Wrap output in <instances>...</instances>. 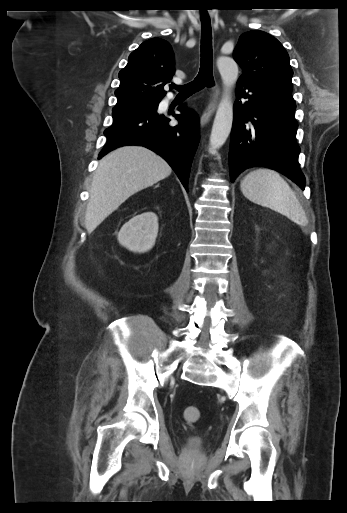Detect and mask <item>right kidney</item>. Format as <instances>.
Instances as JSON below:
<instances>
[{"mask_svg":"<svg viewBox=\"0 0 347 513\" xmlns=\"http://www.w3.org/2000/svg\"><path fill=\"white\" fill-rule=\"evenodd\" d=\"M157 233L158 216L154 212H144L125 223L117 238L128 250L144 253L155 245Z\"/></svg>","mask_w":347,"mask_h":513,"instance_id":"obj_1","label":"right kidney"}]
</instances>
